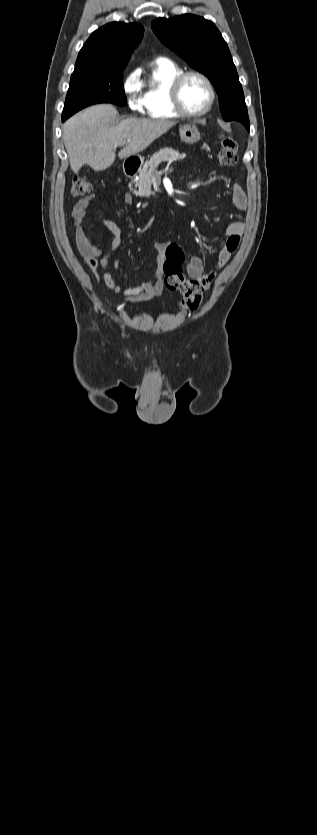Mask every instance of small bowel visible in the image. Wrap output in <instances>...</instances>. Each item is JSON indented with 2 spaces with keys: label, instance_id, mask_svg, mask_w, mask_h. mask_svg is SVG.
I'll use <instances>...</instances> for the list:
<instances>
[{
  "label": "small bowel",
  "instance_id": "1",
  "mask_svg": "<svg viewBox=\"0 0 317 835\" xmlns=\"http://www.w3.org/2000/svg\"><path fill=\"white\" fill-rule=\"evenodd\" d=\"M94 199V194L86 195L75 204L72 211V217L75 225V242L86 265L94 272L99 269L102 270V281L104 285L116 294L123 295L125 297V302L128 304H134L143 301L150 296L160 294L164 287L161 265L167 258L179 260L182 264L185 258L183 248L178 244L171 243L170 241L157 243L155 249L158 254L159 266L154 278L134 287H122L118 285L112 274L108 271V266L111 255L121 245V229L114 221L101 219L97 222V224L103 226L112 234L113 239L111 246L109 250L105 251L102 246L91 240L87 234L84 218L86 217L88 207ZM132 201L133 199L131 195H124L125 203L131 204ZM231 204L239 211L247 209L246 194L238 183H235L232 187ZM242 233V223L231 222L227 225L223 233V244L218 254V269L223 268L230 261L231 256L239 246ZM113 266L117 270L120 269L118 261L113 262ZM185 270L188 277L198 281L203 290H208L217 276V272H204V262L202 258L197 255H193L190 258Z\"/></svg>",
  "mask_w": 317,
  "mask_h": 835
}]
</instances>
